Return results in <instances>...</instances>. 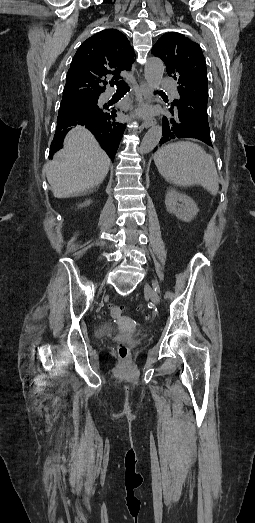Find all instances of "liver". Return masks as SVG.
Wrapping results in <instances>:
<instances>
[{
    "label": "liver",
    "mask_w": 255,
    "mask_h": 523,
    "mask_svg": "<svg viewBox=\"0 0 255 523\" xmlns=\"http://www.w3.org/2000/svg\"><path fill=\"white\" fill-rule=\"evenodd\" d=\"M64 148L44 166L55 198H70L95 188L109 172L110 158L85 128L68 132Z\"/></svg>",
    "instance_id": "1"
}]
</instances>
